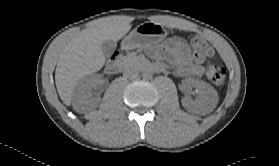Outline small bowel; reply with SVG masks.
Listing matches in <instances>:
<instances>
[{
    "instance_id": "small-bowel-1",
    "label": "small bowel",
    "mask_w": 279,
    "mask_h": 166,
    "mask_svg": "<svg viewBox=\"0 0 279 166\" xmlns=\"http://www.w3.org/2000/svg\"><path fill=\"white\" fill-rule=\"evenodd\" d=\"M157 56L163 55L176 66L177 72L180 75L200 76L203 72L201 65L192 61L188 46L177 40L169 39L156 53Z\"/></svg>"
}]
</instances>
